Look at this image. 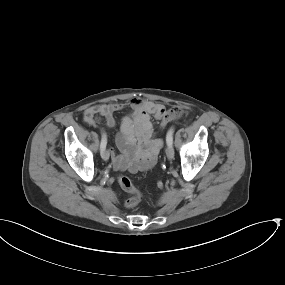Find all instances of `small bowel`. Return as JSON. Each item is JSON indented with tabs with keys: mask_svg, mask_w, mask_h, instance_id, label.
Here are the masks:
<instances>
[{
	"mask_svg": "<svg viewBox=\"0 0 285 285\" xmlns=\"http://www.w3.org/2000/svg\"><path fill=\"white\" fill-rule=\"evenodd\" d=\"M161 105L144 99L133 98L128 102L96 104L84 112V121L95 125L103 120L108 128L116 126L115 114L129 109L130 114L121 122V129L116 141L122 155L112 154V164L115 170L146 171L151 169L157 160L162 141L154 136L152 117L160 119L157 108Z\"/></svg>",
	"mask_w": 285,
	"mask_h": 285,
	"instance_id": "c3829d8e",
	"label": "small bowel"
}]
</instances>
